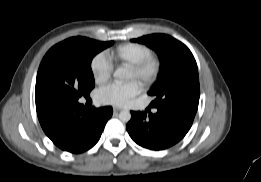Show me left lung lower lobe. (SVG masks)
<instances>
[{
  "label": "left lung lower lobe",
  "mask_w": 261,
  "mask_h": 182,
  "mask_svg": "<svg viewBox=\"0 0 261 182\" xmlns=\"http://www.w3.org/2000/svg\"><path fill=\"white\" fill-rule=\"evenodd\" d=\"M197 108L190 104L157 108L155 114L131 112L126 129L131 138L140 146L163 150L179 142L189 131Z\"/></svg>",
  "instance_id": "0a47b994"
}]
</instances>
